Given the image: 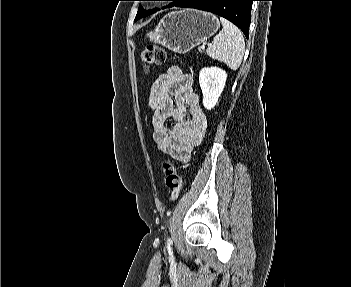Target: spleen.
Segmentation results:
<instances>
[{
    "label": "spleen",
    "mask_w": 351,
    "mask_h": 287,
    "mask_svg": "<svg viewBox=\"0 0 351 287\" xmlns=\"http://www.w3.org/2000/svg\"><path fill=\"white\" fill-rule=\"evenodd\" d=\"M222 30L214 37L213 44L208 47L207 54L224 62L230 69L236 70L241 65L245 42L241 31L231 22L220 18Z\"/></svg>",
    "instance_id": "1"
}]
</instances>
